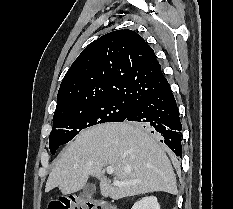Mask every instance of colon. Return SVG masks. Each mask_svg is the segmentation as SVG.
Returning a JSON list of instances; mask_svg holds the SVG:
<instances>
[{
	"mask_svg": "<svg viewBox=\"0 0 233 209\" xmlns=\"http://www.w3.org/2000/svg\"><path fill=\"white\" fill-rule=\"evenodd\" d=\"M48 209H118L104 200L71 196L52 201Z\"/></svg>",
	"mask_w": 233,
	"mask_h": 209,
	"instance_id": "colon-1",
	"label": "colon"
}]
</instances>
